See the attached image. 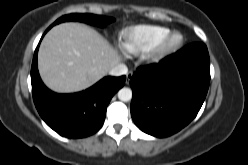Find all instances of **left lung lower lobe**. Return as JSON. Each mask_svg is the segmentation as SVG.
Instances as JSON below:
<instances>
[{"label":"left lung lower lobe","mask_w":248,"mask_h":165,"mask_svg":"<svg viewBox=\"0 0 248 165\" xmlns=\"http://www.w3.org/2000/svg\"><path fill=\"white\" fill-rule=\"evenodd\" d=\"M210 83L205 44H189L133 74L131 116L140 130L155 137L170 136L199 112Z\"/></svg>","instance_id":"left-lung-lower-lobe-1"}]
</instances>
